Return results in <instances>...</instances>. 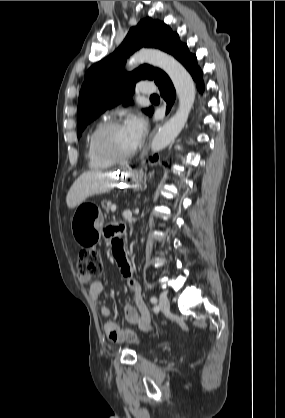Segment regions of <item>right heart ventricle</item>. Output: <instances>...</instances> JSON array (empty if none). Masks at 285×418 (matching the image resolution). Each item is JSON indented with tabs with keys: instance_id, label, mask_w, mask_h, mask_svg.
<instances>
[{
	"instance_id": "obj_1",
	"label": "right heart ventricle",
	"mask_w": 285,
	"mask_h": 418,
	"mask_svg": "<svg viewBox=\"0 0 285 418\" xmlns=\"http://www.w3.org/2000/svg\"><path fill=\"white\" fill-rule=\"evenodd\" d=\"M100 124L96 125L87 135L86 138V142H85V156L88 162V166L90 169L98 171V170H103L106 169L112 165L115 164V162H111V161H107L102 159L100 156H98L96 154V152L93 150L92 146H91V138L92 135L94 133V131L96 130V128L99 126Z\"/></svg>"
}]
</instances>
